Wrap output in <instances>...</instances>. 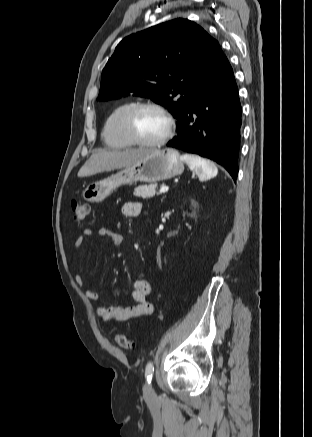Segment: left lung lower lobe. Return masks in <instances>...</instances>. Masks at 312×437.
Here are the masks:
<instances>
[{"instance_id":"left-lung-lower-lobe-1","label":"left lung lower lobe","mask_w":312,"mask_h":437,"mask_svg":"<svg viewBox=\"0 0 312 437\" xmlns=\"http://www.w3.org/2000/svg\"><path fill=\"white\" fill-rule=\"evenodd\" d=\"M242 109L226 56L179 119L167 146L196 153L222 165L236 181Z\"/></svg>"}]
</instances>
